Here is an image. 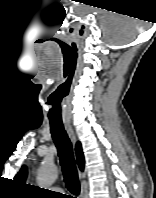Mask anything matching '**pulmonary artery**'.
I'll return each instance as SVG.
<instances>
[{
    "label": "pulmonary artery",
    "mask_w": 156,
    "mask_h": 198,
    "mask_svg": "<svg viewBox=\"0 0 156 198\" xmlns=\"http://www.w3.org/2000/svg\"><path fill=\"white\" fill-rule=\"evenodd\" d=\"M54 190H57V191H58V190H59V188H57V187H56V188H54Z\"/></svg>",
    "instance_id": "1"
}]
</instances>
